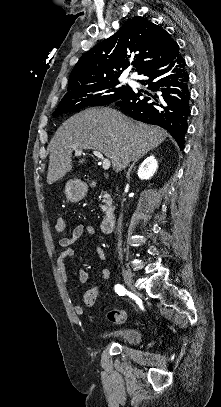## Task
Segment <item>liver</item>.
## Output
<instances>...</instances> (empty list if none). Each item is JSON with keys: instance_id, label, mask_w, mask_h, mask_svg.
I'll use <instances>...</instances> for the list:
<instances>
[{"instance_id": "liver-1", "label": "liver", "mask_w": 221, "mask_h": 407, "mask_svg": "<svg viewBox=\"0 0 221 407\" xmlns=\"http://www.w3.org/2000/svg\"><path fill=\"white\" fill-rule=\"evenodd\" d=\"M166 136L164 129L134 121L115 109H86L67 119L50 141L47 183H55L72 170L73 151H100L118 173L157 147ZM83 163L85 159H80L79 164Z\"/></svg>"}]
</instances>
